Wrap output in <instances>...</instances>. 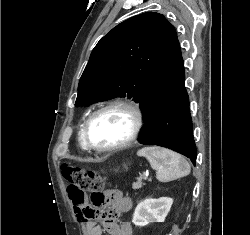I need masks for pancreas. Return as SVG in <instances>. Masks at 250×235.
<instances>
[{
	"instance_id": "pancreas-1",
	"label": "pancreas",
	"mask_w": 250,
	"mask_h": 235,
	"mask_svg": "<svg viewBox=\"0 0 250 235\" xmlns=\"http://www.w3.org/2000/svg\"><path fill=\"white\" fill-rule=\"evenodd\" d=\"M141 187H142V182H141V180H138V181L135 182V183L133 184V186H132V188H133L134 190L140 189Z\"/></svg>"
}]
</instances>
